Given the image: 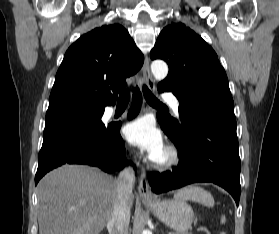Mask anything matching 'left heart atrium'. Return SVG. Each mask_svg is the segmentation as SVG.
Instances as JSON below:
<instances>
[{"label":"left heart atrium","instance_id":"obj_1","mask_svg":"<svg viewBox=\"0 0 279 234\" xmlns=\"http://www.w3.org/2000/svg\"><path fill=\"white\" fill-rule=\"evenodd\" d=\"M124 135L131 144L146 151L153 160L164 152L162 135L149 117H141L128 123L124 128Z\"/></svg>","mask_w":279,"mask_h":234}]
</instances>
